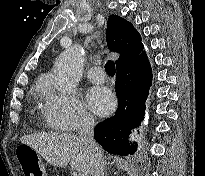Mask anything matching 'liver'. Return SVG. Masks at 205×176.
Returning a JSON list of instances; mask_svg holds the SVG:
<instances>
[{"mask_svg": "<svg viewBox=\"0 0 205 176\" xmlns=\"http://www.w3.org/2000/svg\"><path fill=\"white\" fill-rule=\"evenodd\" d=\"M20 141L54 166L63 168L70 162L72 169L81 174H91L93 155L75 135L41 132L25 135Z\"/></svg>", "mask_w": 205, "mask_h": 176, "instance_id": "liver-1", "label": "liver"}]
</instances>
